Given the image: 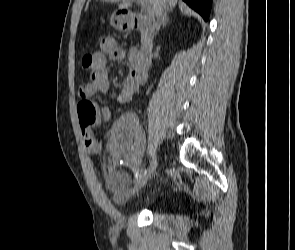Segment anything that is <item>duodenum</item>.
<instances>
[{"label":"duodenum","mask_w":295,"mask_h":250,"mask_svg":"<svg viewBox=\"0 0 295 250\" xmlns=\"http://www.w3.org/2000/svg\"><path fill=\"white\" fill-rule=\"evenodd\" d=\"M121 18L129 24L130 29L144 34L142 53L135 58L133 66L135 76L142 83L148 75V58L152 53L156 26L145 14L127 9L121 10Z\"/></svg>","instance_id":"1"}]
</instances>
